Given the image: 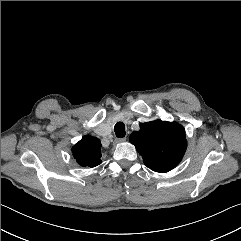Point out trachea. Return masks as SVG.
<instances>
[{
	"mask_svg": "<svg viewBox=\"0 0 241 241\" xmlns=\"http://www.w3.org/2000/svg\"><path fill=\"white\" fill-rule=\"evenodd\" d=\"M114 131L115 134L118 138H122L125 136V125L123 122H118L116 123V125L114 126Z\"/></svg>",
	"mask_w": 241,
	"mask_h": 241,
	"instance_id": "trachea-1",
	"label": "trachea"
}]
</instances>
